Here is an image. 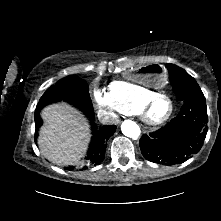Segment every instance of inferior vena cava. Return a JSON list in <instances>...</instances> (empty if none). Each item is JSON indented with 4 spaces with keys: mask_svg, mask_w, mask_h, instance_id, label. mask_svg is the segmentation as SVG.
<instances>
[{
    "mask_svg": "<svg viewBox=\"0 0 221 221\" xmlns=\"http://www.w3.org/2000/svg\"><path fill=\"white\" fill-rule=\"evenodd\" d=\"M98 119L102 124H112L115 122L114 113L106 110H99Z\"/></svg>",
    "mask_w": 221,
    "mask_h": 221,
    "instance_id": "obj_1",
    "label": "inferior vena cava"
}]
</instances>
